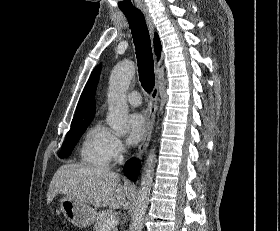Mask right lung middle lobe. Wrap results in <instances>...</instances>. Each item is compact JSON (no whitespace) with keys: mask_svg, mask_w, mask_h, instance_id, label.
I'll return each mask as SVG.
<instances>
[{"mask_svg":"<svg viewBox=\"0 0 280 231\" xmlns=\"http://www.w3.org/2000/svg\"><path fill=\"white\" fill-rule=\"evenodd\" d=\"M90 122L84 123L82 125L76 126V127H71V129L67 133L66 140L63 144L62 151L59 154L60 158H67L70 156L73 148L77 144L78 140L88 127Z\"/></svg>","mask_w":280,"mask_h":231,"instance_id":"right-lung-middle-lobe-1","label":"right lung middle lobe"}]
</instances>
